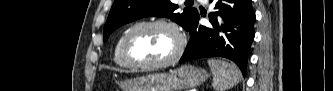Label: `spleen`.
I'll return each mask as SVG.
<instances>
[{
    "label": "spleen",
    "instance_id": "spleen-1",
    "mask_svg": "<svg viewBox=\"0 0 333 91\" xmlns=\"http://www.w3.org/2000/svg\"><path fill=\"white\" fill-rule=\"evenodd\" d=\"M208 65L213 74L212 86L215 91H227L241 80V72L235 64L209 59Z\"/></svg>",
    "mask_w": 333,
    "mask_h": 91
}]
</instances>
